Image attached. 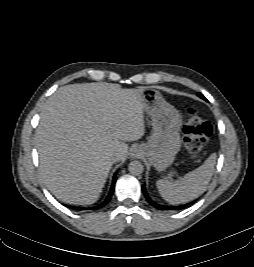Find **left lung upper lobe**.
<instances>
[{"label":"left lung upper lobe","instance_id":"5c2ea615","mask_svg":"<svg viewBox=\"0 0 254 267\" xmlns=\"http://www.w3.org/2000/svg\"><path fill=\"white\" fill-rule=\"evenodd\" d=\"M198 95H199L201 98H203V99L206 100V98H205L201 93H199Z\"/></svg>","mask_w":254,"mask_h":267}]
</instances>
